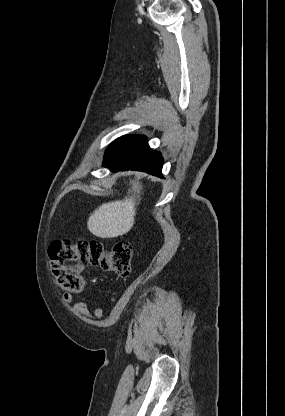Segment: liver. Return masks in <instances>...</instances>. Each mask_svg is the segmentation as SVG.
I'll use <instances>...</instances> for the list:
<instances>
[{"mask_svg":"<svg viewBox=\"0 0 285 416\" xmlns=\"http://www.w3.org/2000/svg\"><path fill=\"white\" fill-rule=\"evenodd\" d=\"M140 190L142 186H139V182H133V196H126L125 200L119 202L102 204L94 210L87 222L89 232L97 238H118L130 232L136 216V202L140 200Z\"/></svg>","mask_w":285,"mask_h":416,"instance_id":"obj_1","label":"liver"}]
</instances>
